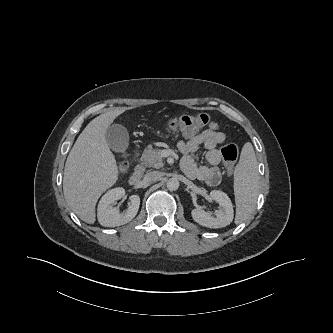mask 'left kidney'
<instances>
[{"instance_id": "obj_1", "label": "left kidney", "mask_w": 333, "mask_h": 333, "mask_svg": "<svg viewBox=\"0 0 333 333\" xmlns=\"http://www.w3.org/2000/svg\"><path fill=\"white\" fill-rule=\"evenodd\" d=\"M210 196L220 205V209L215 211V217L201 208H196L191 212L193 220L208 228H222L229 225L234 217L230 198L220 190L211 191Z\"/></svg>"}]
</instances>
